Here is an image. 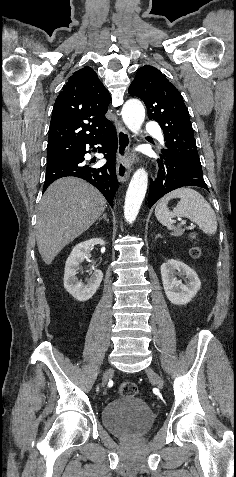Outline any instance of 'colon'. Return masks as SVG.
Returning a JSON list of instances; mask_svg holds the SVG:
<instances>
[{
    "instance_id": "1",
    "label": "colon",
    "mask_w": 236,
    "mask_h": 477,
    "mask_svg": "<svg viewBox=\"0 0 236 477\" xmlns=\"http://www.w3.org/2000/svg\"><path fill=\"white\" fill-rule=\"evenodd\" d=\"M202 254V250L200 247L196 246L191 249V255L195 258L200 257ZM118 391L122 396H135L137 394V386L133 382H122L119 387Z\"/></svg>"
}]
</instances>
